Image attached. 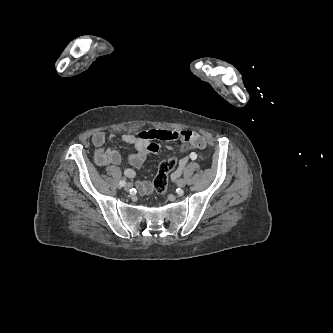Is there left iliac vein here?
Returning <instances> with one entry per match:
<instances>
[{
	"label": "left iliac vein",
	"mask_w": 333,
	"mask_h": 333,
	"mask_svg": "<svg viewBox=\"0 0 333 333\" xmlns=\"http://www.w3.org/2000/svg\"><path fill=\"white\" fill-rule=\"evenodd\" d=\"M176 185L180 188H183L186 185V181L183 178L177 180Z\"/></svg>",
	"instance_id": "1"
}]
</instances>
